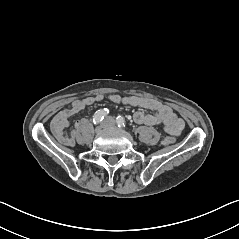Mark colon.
Returning <instances> with one entry per match:
<instances>
[{"label": "colon", "mask_w": 239, "mask_h": 239, "mask_svg": "<svg viewBox=\"0 0 239 239\" xmlns=\"http://www.w3.org/2000/svg\"><path fill=\"white\" fill-rule=\"evenodd\" d=\"M173 142H174V137H172V136H167L162 140V144L164 146H168V145L172 144Z\"/></svg>", "instance_id": "obj_1"}]
</instances>
